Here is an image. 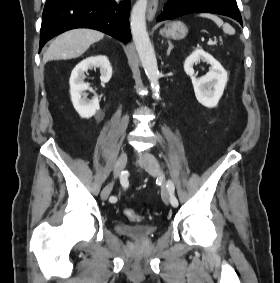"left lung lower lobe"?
Here are the masks:
<instances>
[{"instance_id":"left-lung-lower-lobe-1","label":"left lung lower lobe","mask_w":280,"mask_h":283,"mask_svg":"<svg viewBox=\"0 0 280 283\" xmlns=\"http://www.w3.org/2000/svg\"><path fill=\"white\" fill-rule=\"evenodd\" d=\"M195 12L225 15L243 25L238 7L221 0H168L157 21L174 19Z\"/></svg>"}]
</instances>
